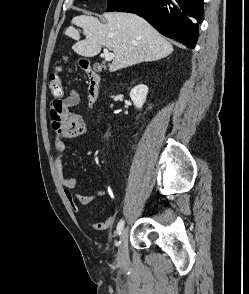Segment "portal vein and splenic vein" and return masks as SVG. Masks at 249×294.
I'll return each instance as SVG.
<instances>
[{
  "label": "portal vein and splenic vein",
  "instance_id": "18ae733b",
  "mask_svg": "<svg viewBox=\"0 0 249 294\" xmlns=\"http://www.w3.org/2000/svg\"><path fill=\"white\" fill-rule=\"evenodd\" d=\"M104 58L106 61H112L114 59V53L109 52L108 49H104Z\"/></svg>",
  "mask_w": 249,
  "mask_h": 294
}]
</instances>
